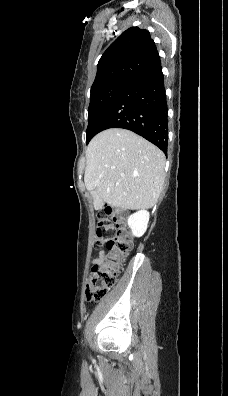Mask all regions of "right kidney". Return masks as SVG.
Wrapping results in <instances>:
<instances>
[{"label": "right kidney", "mask_w": 228, "mask_h": 396, "mask_svg": "<svg viewBox=\"0 0 228 396\" xmlns=\"http://www.w3.org/2000/svg\"><path fill=\"white\" fill-rule=\"evenodd\" d=\"M149 217V212L146 210H140L129 216L128 226L134 236L141 237L146 232Z\"/></svg>", "instance_id": "right-kidney-1"}]
</instances>
